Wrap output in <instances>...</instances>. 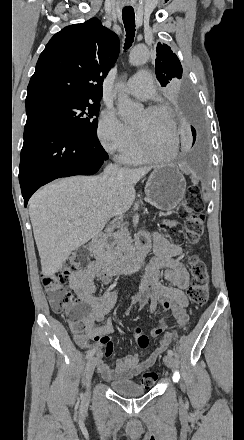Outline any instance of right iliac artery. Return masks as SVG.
I'll use <instances>...</instances> for the list:
<instances>
[{
  "label": "right iliac artery",
  "mask_w": 244,
  "mask_h": 440,
  "mask_svg": "<svg viewBox=\"0 0 244 440\" xmlns=\"http://www.w3.org/2000/svg\"><path fill=\"white\" fill-rule=\"evenodd\" d=\"M95 352H96L95 349L90 350V351L87 353L86 358L88 359V358L92 357V356L95 354Z\"/></svg>",
  "instance_id": "82829eb1"
}]
</instances>
